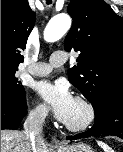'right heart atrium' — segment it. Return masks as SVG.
Here are the masks:
<instances>
[{
    "mask_svg": "<svg viewBox=\"0 0 123 152\" xmlns=\"http://www.w3.org/2000/svg\"><path fill=\"white\" fill-rule=\"evenodd\" d=\"M29 114L30 117L35 121H43L47 116L46 110L40 106H34L30 110Z\"/></svg>",
    "mask_w": 123,
    "mask_h": 152,
    "instance_id": "1",
    "label": "right heart atrium"
}]
</instances>
